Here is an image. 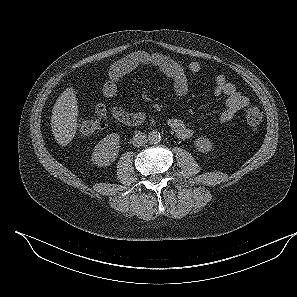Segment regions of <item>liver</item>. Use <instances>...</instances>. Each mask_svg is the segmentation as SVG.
Masks as SVG:
<instances>
[{
	"label": "liver",
	"mask_w": 297,
	"mask_h": 297,
	"mask_svg": "<svg viewBox=\"0 0 297 297\" xmlns=\"http://www.w3.org/2000/svg\"><path fill=\"white\" fill-rule=\"evenodd\" d=\"M77 120V98L73 87H69L58 97L52 110L51 127L58 144L66 146L72 141L78 127Z\"/></svg>",
	"instance_id": "obj_1"
}]
</instances>
